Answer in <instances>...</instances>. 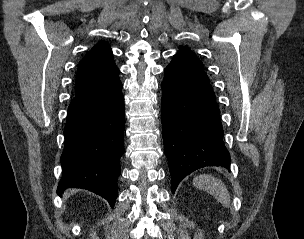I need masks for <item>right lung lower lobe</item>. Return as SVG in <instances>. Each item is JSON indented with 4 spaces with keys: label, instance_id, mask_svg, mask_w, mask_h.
I'll list each match as a JSON object with an SVG mask.
<instances>
[{
    "label": "right lung lower lobe",
    "instance_id": "obj_1",
    "mask_svg": "<svg viewBox=\"0 0 304 239\" xmlns=\"http://www.w3.org/2000/svg\"><path fill=\"white\" fill-rule=\"evenodd\" d=\"M118 73L119 69L76 94L69 105L58 194L66 188H82L104 197L112 207L115 204L125 124Z\"/></svg>",
    "mask_w": 304,
    "mask_h": 239
}]
</instances>
